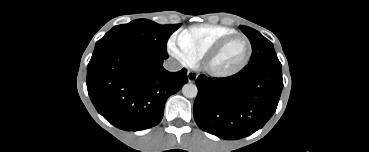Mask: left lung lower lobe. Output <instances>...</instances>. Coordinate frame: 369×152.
<instances>
[{
  "mask_svg": "<svg viewBox=\"0 0 369 152\" xmlns=\"http://www.w3.org/2000/svg\"><path fill=\"white\" fill-rule=\"evenodd\" d=\"M194 119L202 130L227 140L251 135L274 114L283 79L281 66H261L227 78L200 75Z\"/></svg>",
  "mask_w": 369,
  "mask_h": 152,
  "instance_id": "obj_1",
  "label": "left lung lower lobe"
}]
</instances>
